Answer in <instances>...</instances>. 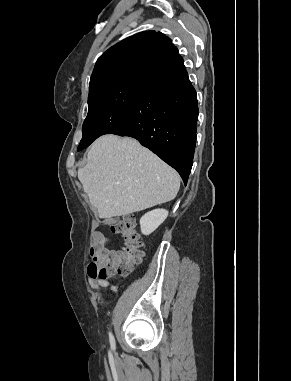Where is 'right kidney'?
Returning a JSON list of instances; mask_svg holds the SVG:
<instances>
[{"label": "right kidney", "mask_w": 291, "mask_h": 381, "mask_svg": "<svg viewBox=\"0 0 291 381\" xmlns=\"http://www.w3.org/2000/svg\"><path fill=\"white\" fill-rule=\"evenodd\" d=\"M168 211L165 209H155L140 219L141 232L144 235H150L154 232L167 218Z\"/></svg>", "instance_id": "1"}]
</instances>
